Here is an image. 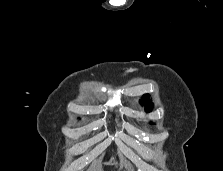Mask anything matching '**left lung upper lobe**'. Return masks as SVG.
<instances>
[{
  "label": "left lung upper lobe",
  "mask_w": 223,
  "mask_h": 171,
  "mask_svg": "<svg viewBox=\"0 0 223 171\" xmlns=\"http://www.w3.org/2000/svg\"><path fill=\"white\" fill-rule=\"evenodd\" d=\"M148 98H149V95L146 94L142 97L140 101L143 105H145V108L147 111H151L153 109V104L151 103L150 100H148Z\"/></svg>",
  "instance_id": "1"
}]
</instances>
